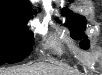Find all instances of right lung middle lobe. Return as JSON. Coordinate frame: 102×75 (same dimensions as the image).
<instances>
[{
    "mask_svg": "<svg viewBox=\"0 0 102 75\" xmlns=\"http://www.w3.org/2000/svg\"><path fill=\"white\" fill-rule=\"evenodd\" d=\"M29 17L0 13V64L17 63L28 56L34 44L26 29Z\"/></svg>",
    "mask_w": 102,
    "mask_h": 75,
    "instance_id": "right-lung-middle-lobe-1",
    "label": "right lung middle lobe"
}]
</instances>
